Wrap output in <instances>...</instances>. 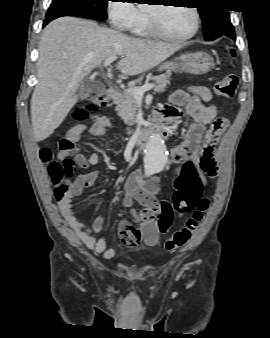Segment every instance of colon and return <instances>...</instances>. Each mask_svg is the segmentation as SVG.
Wrapping results in <instances>:
<instances>
[{"mask_svg":"<svg viewBox=\"0 0 270 338\" xmlns=\"http://www.w3.org/2000/svg\"><path fill=\"white\" fill-rule=\"evenodd\" d=\"M231 55H235L234 49H230ZM238 79L233 74L223 76L215 85L214 91L217 95L232 98L236 92ZM109 104V98L104 93L93 94L89 98V103L84 109L77 112L76 118L80 121L86 118L87 113H93L99 107H106ZM228 122L223 119H217L213 128L226 129ZM61 150H70L73 148V143L68 138H63L60 141ZM39 157L44 163H48L49 178L56 189L65 188L68 182L73 178V163L70 158H64L62 161H51L50 150L43 148L39 152ZM201 170L208 176L216 174V165L212 158V149L205 147L202 150ZM201 184L199 180H195L188 188H179L173 195V202H164L161 205L160 214L164 225L168 224L175 214L181 215L193 210L191 217L187 220L184 227L176 231L169 238L164 248L167 251H173L178 247L187 244L199 229V226L204 218V215L209 206V198L202 196ZM151 215L143 214L144 219H150Z\"/></svg>","mask_w":270,"mask_h":338,"instance_id":"1","label":"colon"}]
</instances>
